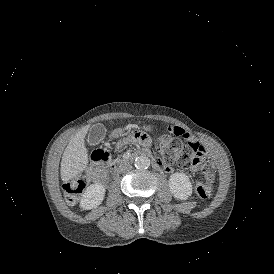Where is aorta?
Here are the masks:
<instances>
[{
	"mask_svg": "<svg viewBox=\"0 0 274 274\" xmlns=\"http://www.w3.org/2000/svg\"><path fill=\"white\" fill-rule=\"evenodd\" d=\"M134 164L138 169H147L150 166V160L146 156H139L135 159Z\"/></svg>",
	"mask_w": 274,
	"mask_h": 274,
	"instance_id": "1",
	"label": "aorta"
}]
</instances>
